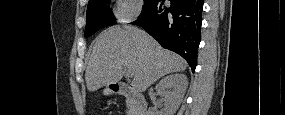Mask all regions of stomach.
Segmentation results:
<instances>
[{
    "instance_id": "0dacf381",
    "label": "stomach",
    "mask_w": 285,
    "mask_h": 115,
    "mask_svg": "<svg viewBox=\"0 0 285 115\" xmlns=\"http://www.w3.org/2000/svg\"><path fill=\"white\" fill-rule=\"evenodd\" d=\"M112 93V90L109 88V87H106L105 89H104V91H103V94L104 95H109V94H111Z\"/></svg>"
}]
</instances>
